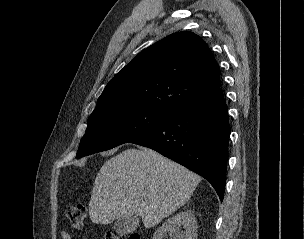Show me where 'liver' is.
<instances>
[{
  "label": "liver",
  "instance_id": "1",
  "mask_svg": "<svg viewBox=\"0 0 304 239\" xmlns=\"http://www.w3.org/2000/svg\"><path fill=\"white\" fill-rule=\"evenodd\" d=\"M201 177L148 148L124 150L98 172L89 202L96 224L139 216L146 228L159 224L192 196Z\"/></svg>",
  "mask_w": 304,
  "mask_h": 239
}]
</instances>
